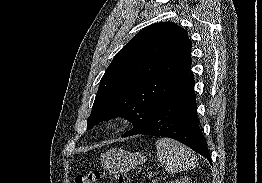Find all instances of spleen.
Returning a JSON list of instances; mask_svg holds the SVG:
<instances>
[{"label":"spleen","instance_id":"3e777b00","mask_svg":"<svg viewBox=\"0 0 262 183\" xmlns=\"http://www.w3.org/2000/svg\"><path fill=\"white\" fill-rule=\"evenodd\" d=\"M157 158L169 174L182 172L197 166V158L189 148L170 138L156 141Z\"/></svg>","mask_w":262,"mask_h":183}]
</instances>
